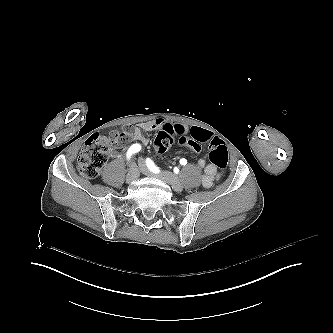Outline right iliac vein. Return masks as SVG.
Wrapping results in <instances>:
<instances>
[{
	"instance_id": "63e3f726",
	"label": "right iliac vein",
	"mask_w": 333,
	"mask_h": 333,
	"mask_svg": "<svg viewBox=\"0 0 333 333\" xmlns=\"http://www.w3.org/2000/svg\"><path fill=\"white\" fill-rule=\"evenodd\" d=\"M133 167H134V166H133ZM137 177H138L137 172H136L134 169H132V170L130 171L129 177H127L126 181H127L128 183H131V182H133Z\"/></svg>"
}]
</instances>
